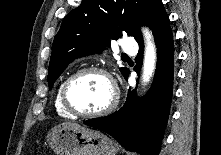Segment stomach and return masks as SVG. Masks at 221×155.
<instances>
[{
    "label": "stomach",
    "instance_id": "1",
    "mask_svg": "<svg viewBox=\"0 0 221 155\" xmlns=\"http://www.w3.org/2000/svg\"><path fill=\"white\" fill-rule=\"evenodd\" d=\"M48 143L56 155H116L118 151L105 134L72 123L53 127Z\"/></svg>",
    "mask_w": 221,
    "mask_h": 155
}]
</instances>
